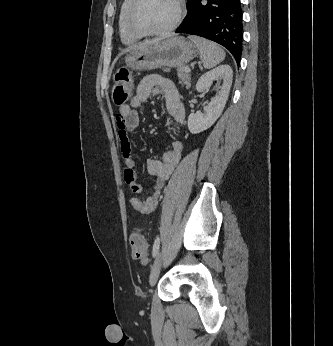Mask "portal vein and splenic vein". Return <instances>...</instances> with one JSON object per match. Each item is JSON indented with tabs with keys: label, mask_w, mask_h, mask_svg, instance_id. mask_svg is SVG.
I'll list each match as a JSON object with an SVG mask.
<instances>
[{
	"label": "portal vein and splenic vein",
	"mask_w": 333,
	"mask_h": 346,
	"mask_svg": "<svg viewBox=\"0 0 333 346\" xmlns=\"http://www.w3.org/2000/svg\"><path fill=\"white\" fill-rule=\"evenodd\" d=\"M190 72V68L189 67H186L185 68V73H189Z\"/></svg>",
	"instance_id": "obj_1"
}]
</instances>
